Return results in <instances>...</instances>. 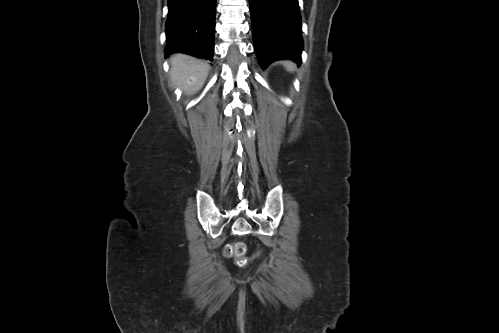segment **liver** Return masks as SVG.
<instances>
[{"label": "liver", "mask_w": 499, "mask_h": 333, "mask_svg": "<svg viewBox=\"0 0 499 333\" xmlns=\"http://www.w3.org/2000/svg\"><path fill=\"white\" fill-rule=\"evenodd\" d=\"M170 63L175 85L182 86L186 92H196L202 87L208 75V63L184 54L173 55Z\"/></svg>", "instance_id": "6515ba94"}]
</instances>
